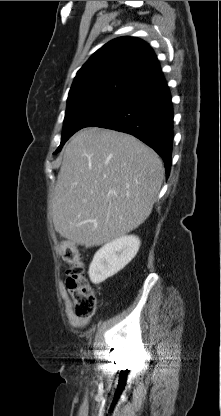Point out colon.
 Returning a JSON list of instances; mask_svg holds the SVG:
<instances>
[{
  "mask_svg": "<svg viewBox=\"0 0 221 416\" xmlns=\"http://www.w3.org/2000/svg\"><path fill=\"white\" fill-rule=\"evenodd\" d=\"M58 254L69 266L66 288L72 302V310L79 318L91 317L96 309L95 292L85 277V263L80 249L69 240L58 245Z\"/></svg>",
  "mask_w": 221,
  "mask_h": 416,
  "instance_id": "colon-1",
  "label": "colon"
}]
</instances>
